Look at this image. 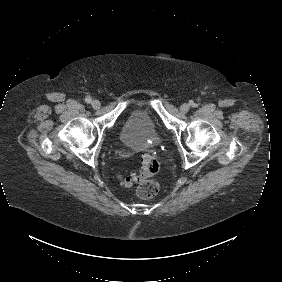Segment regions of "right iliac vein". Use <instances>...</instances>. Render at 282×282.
I'll return each mask as SVG.
<instances>
[{"label":"right iliac vein","mask_w":282,"mask_h":282,"mask_svg":"<svg viewBox=\"0 0 282 282\" xmlns=\"http://www.w3.org/2000/svg\"><path fill=\"white\" fill-rule=\"evenodd\" d=\"M91 105H92V107L94 108V109H99L100 108V106H101V104H100V102L98 101V100H93L92 101V103H91Z\"/></svg>","instance_id":"right-iliac-vein-1"}]
</instances>
